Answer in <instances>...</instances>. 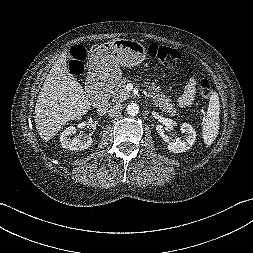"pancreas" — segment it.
I'll return each instance as SVG.
<instances>
[{"mask_svg": "<svg viewBox=\"0 0 253 253\" xmlns=\"http://www.w3.org/2000/svg\"><path fill=\"white\" fill-rule=\"evenodd\" d=\"M126 80L119 82L111 93L113 102H123L131 97L130 92L125 89ZM145 86L149 90L148 96L156 107L173 115L176 113L175 105L171 99L166 96L155 83L146 82Z\"/></svg>", "mask_w": 253, "mask_h": 253, "instance_id": "pancreas-1", "label": "pancreas"}]
</instances>
